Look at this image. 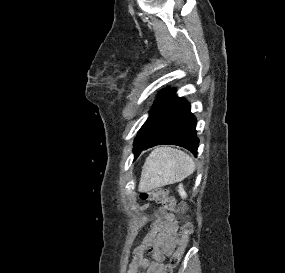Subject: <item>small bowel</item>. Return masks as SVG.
Segmentation results:
<instances>
[{
    "label": "small bowel",
    "instance_id": "small-bowel-1",
    "mask_svg": "<svg viewBox=\"0 0 285 273\" xmlns=\"http://www.w3.org/2000/svg\"><path fill=\"white\" fill-rule=\"evenodd\" d=\"M179 242L178 224L172 214L159 211L148 233L134 251L133 261L127 273H161L165 258ZM149 252L152 261L145 257Z\"/></svg>",
    "mask_w": 285,
    "mask_h": 273
}]
</instances>
